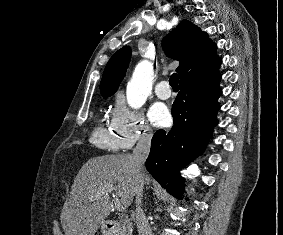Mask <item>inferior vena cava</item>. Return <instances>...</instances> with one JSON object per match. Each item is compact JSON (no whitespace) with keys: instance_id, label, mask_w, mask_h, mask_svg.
<instances>
[{"instance_id":"obj_1","label":"inferior vena cava","mask_w":283,"mask_h":235,"mask_svg":"<svg viewBox=\"0 0 283 235\" xmlns=\"http://www.w3.org/2000/svg\"><path fill=\"white\" fill-rule=\"evenodd\" d=\"M152 134L150 132L143 133L139 136L138 143L133 149L131 154V159L134 163L136 173V187H135V196H136V225L138 235H151V228L148 224V221L145 217V214L142 209V193H143V175L145 172V161L150 152Z\"/></svg>"}]
</instances>
